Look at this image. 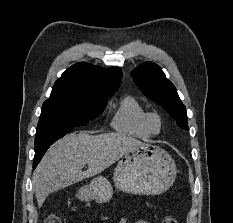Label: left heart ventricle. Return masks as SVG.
Here are the masks:
<instances>
[{"mask_svg":"<svg viewBox=\"0 0 233 223\" xmlns=\"http://www.w3.org/2000/svg\"><path fill=\"white\" fill-rule=\"evenodd\" d=\"M153 129H154L155 131H158V130L161 129V124H160V122H159L158 120H155V121L153 122Z\"/></svg>","mask_w":233,"mask_h":223,"instance_id":"obj_1","label":"left heart ventricle"}]
</instances>
